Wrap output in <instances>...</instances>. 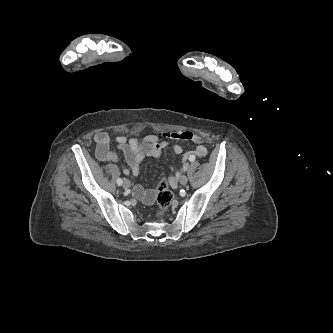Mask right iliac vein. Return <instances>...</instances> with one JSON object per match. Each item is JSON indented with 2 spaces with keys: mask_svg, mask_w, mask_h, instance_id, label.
Returning <instances> with one entry per match:
<instances>
[{
  "mask_svg": "<svg viewBox=\"0 0 333 333\" xmlns=\"http://www.w3.org/2000/svg\"><path fill=\"white\" fill-rule=\"evenodd\" d=\"M130 185H131V183H130L129 180H125V181L123 182V187H124L125 189L129 188Z\"/></svg>",
  "mask_w": 333,
  "mask_h": 333,
  "instance_id": "1",
  "label": "right iliac vein"
}]
</instances>
